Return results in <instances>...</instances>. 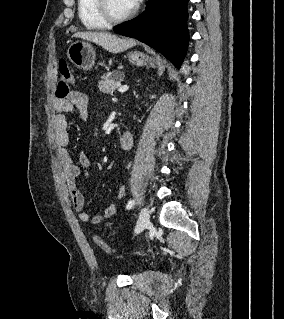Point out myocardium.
Listing matches in <instances>:
<instances>
[{"instance_id": "1", "label": "myocardium", "mask_w": 284, "mask_h": 319, "mask_svg": "<svg viewBox=\"0 0 284 319\" xmlns=\"http://www.w3.org/2000/svg\"><path fill=\"white\" fill-rule=\"evenodd\" d=\"M97 8L102 18L109 24H118L129 20L135 13L132 8L127 14L122 16H114L108 5V0H97Z\"/></svg>"}]
</instances>
